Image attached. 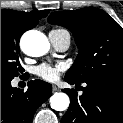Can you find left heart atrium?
Wrapping results in <instances>:
<instances>
[{"label": "left heart atrium", "mask_w": 123, "mask_h": 123, "mask_svg": "<svg viewBox=\"0 0 123 123\" xmlns=\"http://www.w3.org/2000/svg\"><path fill=\"white\" fill-rule=\"evenodd\" d=\"M65 70L64 64L44 63L36 68V74L43 80L55 82L58 80L61 72Z\"/></svg>", "instance_id": "39dd6f15"}]
</instances>
